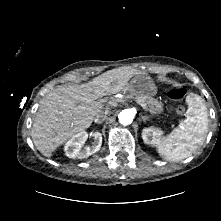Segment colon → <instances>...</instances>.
<instances>
[{"label":"colon","instance_id":"5ec220e1","mask_svg":"<svg viewBox=\"0 0 221 221\" xmlns=\"http://www.w3.org/2000/svg\"><path fill=\"white\" fill-rule=\"evenodd\" d=\"M186 95V90L184 88L181 87H176V88H172L169 92H168V97L176 102H179L181 100L184 99ZM177 111L178 113H182L183 112V108L181 106L177 107Z\"/></svg>","mask_w":221,"mask_h":221}]
</instances>
